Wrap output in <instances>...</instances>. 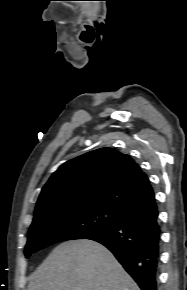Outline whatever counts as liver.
Instances as JSON below:
<instances>
[{"mask_svg":"<svg viewBox=\"0 0 187 290\" xmlns=\"http://www.w3.org/2000/svg\"><path fill=\"white\" fill-rule=\"evenodd\" d=\"M29 279L27 290H140L106 247L86 239L58 245Z\"/></svg>","mask_w":187,"mask_h":290,"instance_id":"6515ba94","label":"liver"}]
</instances>
